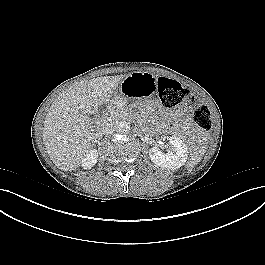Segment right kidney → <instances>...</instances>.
Listing matches in <instances>:
<instances>
[{
	"label": "right kidney",
	"instance_id": "obj_1",
	"mask_svg": "<svg viewBox=\"0 0 265 265\" xmlns=\"http://www.w3.org/2000/svg\"><path fill=\"white\" fill-rule=\"evenodd\" d=\"M98 159V152L95 149L89 150V152L81 159V166L84 169H91Z\"/></svg>",
	"mask_w": 265,
	"mask_h": 265
}]
</instances>
